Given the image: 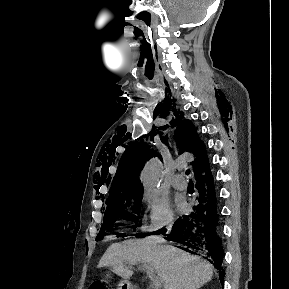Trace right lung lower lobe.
Masks as SVG:
<instances>
[{
	"label": "right lung lower lobe",
	"mask_w": 289,
	"mask_h": 289,
	"mask_svg": "<svg viewBox=\"0 0 289 289\" xmlns=\"http://www.w3.org/2000/svg\"><path fill=\"white\" fill-rule=\"evenodd\" d=\"M196 188L197 199L192 211L175 221L167 239L184 245L182 249L192 254H204L205 258L219 271L220 281L223 284L224 250L220 237L221 227L214 183L210 171L196 179ZM165 233L166 229H160L150 234Z\"/></svg>",
	"instance_id": "obj_1"
}]
</instances>
